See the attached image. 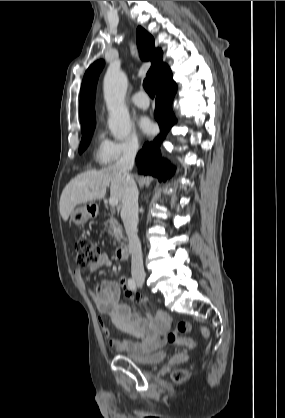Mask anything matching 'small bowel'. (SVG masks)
Wrapping results in <instances>:
<instances>
[{
	"instance_id": "small-bowel-1",
	"label": "small bowel",
	"mask_w": 285,
	"mask_h": 418,
	"mask_svg": "<svg viewBox=\"0 0 285 418\" xmlns=\"http://www.w3.org/2000/svg\"><path fill=\"white\" fill-rule=\"evenodd\" d=\"M111 266L112 260L107 254L102 253L96 262L90 264L89 272ZM76 276L83 283L89 280V276L83 275L81 271H77ZM89 293L99 312V324L106 336H110V328L103 318L104 316L109 317L112 325L127 334L137 337L143 335L150 336L147 341L140 344L110 339V346L113 349L126 352H147L157 350L166 344V336L172 324L171 317L163 312H155L147 317H143L139 312L132 311L129 304L124 301V298H133L127 277H122L119 283L102 281L95 289H90ZM189 340L190 345L186 346L193 349L195 342L192 339Z\"/></svg>"
}]
</instances>
